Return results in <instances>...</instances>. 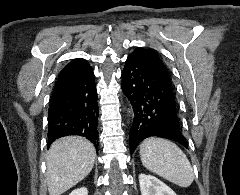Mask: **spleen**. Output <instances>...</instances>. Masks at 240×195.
<instances>
[{
    "label": "spleen",
    "mask_w": 240,
    "mask_h": 195,
    "mask_svg": "<svg viewBox=\"0 0 240 195\" xmlns=\"http://www.w3.org/2000/svg\"><path fill=\"white\" fill-rule=\"evenodd\" d=\"M140 157L144 167L173 181L181 187H188L194 179L193 167L182 149L162 137H147L140 143Z\"/></svg>",
    "instance_id": "spleen-1"
}]
</instances>
